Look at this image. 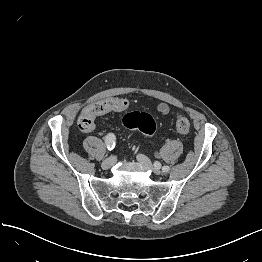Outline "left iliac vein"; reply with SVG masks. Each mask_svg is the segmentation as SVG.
Listing matches in <instances>:
<instances>
[{
	"mask_svg": "<svg viewBox=\"0 0 262 262\" xmlns=\"http://www.w3.org/2000/svg\"><path fill=\"white\" fill-rule=\"evenodd\" d=\"M136 158L140 164H142L144 167L148 169H151L155 174L161 173L159 165H153L146 156L138 154Z\"/></svg>",
	"mask_w": 262,
	"mask_h": 262,
	"instance_id": "left-iliac-vein-1",
	"label": "left iliac vein"
}]
</instances>
